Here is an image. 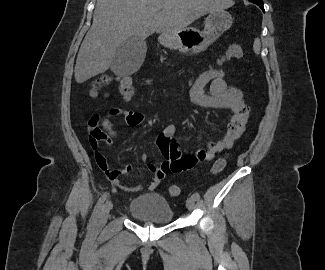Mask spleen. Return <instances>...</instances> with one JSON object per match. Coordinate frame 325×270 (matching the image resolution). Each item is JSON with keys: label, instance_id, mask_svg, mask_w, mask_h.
Listing matches in <instances>:
<instances>
[{"label": "spleen", "instance_id": "1", "mask_svg": "<svg viewBox=\"0 0 325 270\" xmlns=\"http://www.w3.org/2000/svg\"><path fill=\"white\" fill-rule=\"evenodd\" d=\"M253 50L256 54L260 53L261 50V42L259 38H256L253 43Z\"/></svg>", "mask_w": 325, "mask_h": 270}]
</instances>
